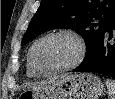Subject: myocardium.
Instances as JSON below:
<instances>
[{"label":"myocardium","mask_w":115,"mask_h":99,"mask_svg":"<svg viewBox=\"0 0 115 99\" xmlns=\"http://www.w3.org/2000/svg\"><path fill=\"white\" fill-rule=\"evenodd\" d=\"M56 36H67V37H70L71 39H73L75 41V43L77 44V48H78L77 55L71 63H69L65 66H62V67L57 68L52 71H42L37 66L35 59H34L36 47L44 40L51 38V37H56ZM86 54H87V44H86V41L84 40V38L79 33L75 32L73 30H70V29H59V30L50 31V32L44 34L43 36H41L40 38H38L32 44V46L29 50L28 58H29L31 68L37 75L43 76V77H51V76H54V75H57V74H60V73H63V72H66V71L76 68L83 62V60L86 57Z\"/></svg>","instance_id":"f54148a6"}]
</instances>
